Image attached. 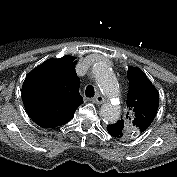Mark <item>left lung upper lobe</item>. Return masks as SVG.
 I'll return each mask as SVG.
<instances>
[{"mask_svg": "<svg viewBox=\"0 0 177 177\" xmlns=\"http://www.w3.org/2000/svg\"><path fill=\"white\" fill-rule=\"evenodd\" d=\"M129 90L126 117L114 124L120 131V138L139 137L153 122L159 105V93L143 71L128 67Z\"/></svg>", "mask_w": 177, "mask_h": 177, "instance_id": "5c2ea615", "label": "left lung upper lobe"}]
</instances>
